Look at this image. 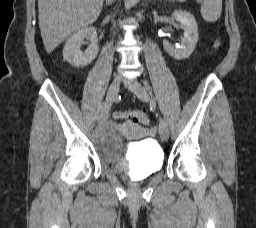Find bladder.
Returning a JSON list of instances; mask_svg holds the SVG:
<instances>
[{"instance_id": "31cf9c89", "label": "bladder", "mask_w": 256, "mask_h": 228, "mask_svg": "<svg viewBox=\"0 0 256 228\" xmlns=\"http://www.w3.org/2000/svg\"><path fill=\"white\" fill-rule=\"evenodd\" d=\"M93 144L99 157L122 175L144 179L159 171L164 162L161 147L153 140L130 144L125 152L119 127L110 125L97 132Z\"/></svg>"}]
</instances>
